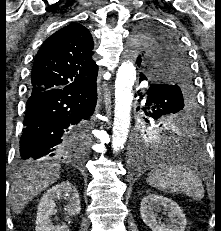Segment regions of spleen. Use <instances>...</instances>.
<instances>
[{"mask_svg": "<svg viewBox=\"0 0 221 231\" xmlns=\"http://www.w3.org/2000/svg\"><path fill=\"white\" fill-rule=\"evenodd\" d=\"M147 183L162 192L182 193L195 199L204 197L199 175L180 161H163L147 177Z\"/></svg>", "mask_w": 221, "mask_h": 231, "instance_id": "3e777b00", "label": "spleen"}]
</instances>
